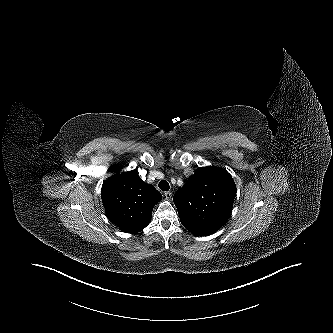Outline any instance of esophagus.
Returning <instances> with one entry per match:
<instances>
[{"mask_svg":"<svg viewBox=\"0 0 333 333\" xmlns=\"http://www.w3.org/2000/svg\"><path fill=\"white\" fill-rule=\"evenodd\" d=\"M164 195H165L167 200H170L171 197H172V193L170 191L165 192Z\"/></svg>","mask_w":333,"mask_h":333,"instance_id":"1","label":"esophagus"}]
</instances>
